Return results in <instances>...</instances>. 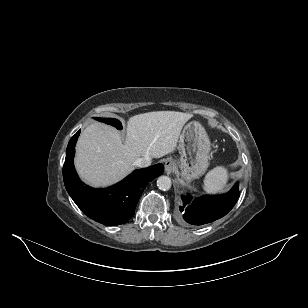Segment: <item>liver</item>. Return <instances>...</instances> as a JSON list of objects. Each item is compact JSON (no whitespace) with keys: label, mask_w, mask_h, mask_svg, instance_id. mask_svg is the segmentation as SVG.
Returning <instances> with one entry per match:
<instances>
[{"label":"liver","mask_w":308,"mask_h":308,"mask_svg":"<svg viewBox=\"0 0 308 308\" xmlns=\"http://www.w3.org/2000/svg\"><path fill=\"white\" fill-rule=\"evenodd\" d=\"M191 117L175 111L132 116L124 140L113 127L91 123L76 146L75 167L80 178L94 187L109 186L130 174L137 159L160 158L174 152L181 130Z\"/></svg>","instance_id":"1"}]
</instances>
